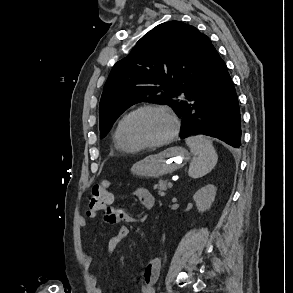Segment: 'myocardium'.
<instances>
[{
  "mask_svg": "<svg viewBox=\"0 0 293 293\" xmlns=\"http://www.w3.org/2000/svg\"><path fill=\"white\" fill-rule=\"evenodd\" d=\"M145 111H158L163 114H165L168 119L171 122V130L167 136L164 138L155 141V142H142L138 141L133 138L132 133H131V126L133 119L140 113L145 112ZM179 131V122L177 117L174 115V113L167 108L166 106L159 105V104H145L142 105L133 111H131L124 122V127H123V132H124V138L126 142L134 147H137L139 149L141 148H156V147H162L168 143H170L177 135Z\"/></svg>",
  "mask_w": 293,
  "mask_h": 293,
  "instance_id": "1",
  "label": "myocardium"
}]
</instances>
